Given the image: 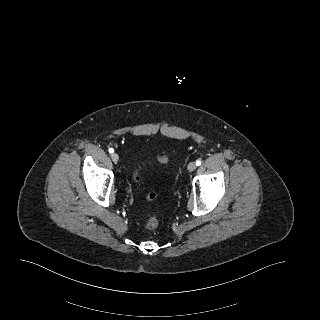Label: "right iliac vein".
Returning a JSON list of instances; mask_svg holds the SVG:
<instances>
[{"label":"right iliac vein","mask_w":320,"mask_h":320,"mask_svg":"<svg viewBox=\"0 0 320 320\" xmlns=\"http://www.w3.org/2000/svg\"><path fill=\"white\" fill-rule=\"evenodd\" d=\"M111 159H112V161H113L114 163H117L118 160H119L118 154H117V153H113V154L111 155Z\"/></svg>","instance_id":"1"}]
</instances>
